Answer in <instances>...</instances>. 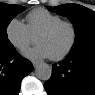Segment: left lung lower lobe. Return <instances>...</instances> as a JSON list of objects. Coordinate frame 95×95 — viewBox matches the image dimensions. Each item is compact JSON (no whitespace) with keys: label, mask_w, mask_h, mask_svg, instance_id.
<instances>
[{"label":"left lung lower lobe","mask_w":95,"mask_h":95,"mask_svg":"<svg viewBox=\"0 0 95 95\" xmlns=\"http://www.w3.org/2000/svg\"><path fill=\"white\" fill-rule=\"evenodd\" d=\"M44 87L48 95H95V44L71 51L53 65Z\"/></svg>","instance_id":"1"}]
</instances>
